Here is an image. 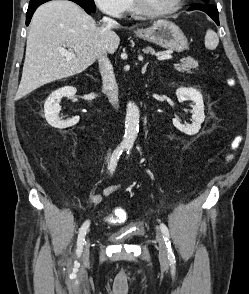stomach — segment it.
Instances as JSON below:
<instances>
[{"label":"stomach","mask_w":249,"mask_h":294,"mask_svg":"<svg viewBox=\"0 0 249 294\" xmlns=\"http://www.w3.org/2000/svg\"><path fill=\"white\" fill-rule=\"evenodd\" d=\"M135 34L141 39L176 52H182L188 46L183 31L176 24L167 20H158L148 28L137 30Z\"/></svg>","instance_id":"obj_1"}]
</instances>
